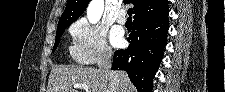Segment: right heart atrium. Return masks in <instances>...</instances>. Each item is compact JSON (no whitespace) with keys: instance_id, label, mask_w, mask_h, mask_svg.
<instances>
[{"instance_id":"1","label":"right heart atrium","mask_w":225,"mask_h":92,"mask_svg":"<svg viewBox=\"0 0 225 92\" xmlns=\"http://www.w3.org/2000/svg\"><path fill=\"white\" fill-rule=\"evenodd\" d=\"M72 56L81 65H92L108 58L111 49L107 44L106 29L82 18L70 27Z\"/></svg>"}]
</instances>
